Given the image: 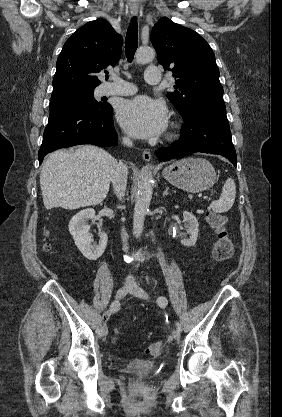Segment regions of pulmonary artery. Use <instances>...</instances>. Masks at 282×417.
<instances>
[{
	"mask_svg": "<svg viewBox=\"0 0 282 417\" xmlns=\"http://www.w3.org/2000/svg\"><path fill=\"white\" fill-rule=\"evenodd\" d=\"M161 71V68L159 65H148L147 70L144 73V78L146 83L155 84V83H161L162 76L159 74ZM111 80L115 83H121L122 86H107L104 89V93L106 95H122V96H128L132 95L136 91L135 85L132 83H129L117 76H112Z\"/></svg>",
	"mask_w": 282,
	"mask_h": 417,
	"instance_id": "e3ab8cb5",
	"label": "pulmonary artery"
}]
</instances>
